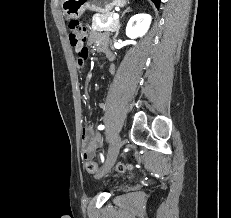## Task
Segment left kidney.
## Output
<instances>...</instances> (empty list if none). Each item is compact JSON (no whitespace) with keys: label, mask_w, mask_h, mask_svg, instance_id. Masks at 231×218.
Masks as SVG:
<instances>
[{"label":"left kidney","mask_w":231,"mask_h":218,"mask_svg":"<svg viewBox=\"0 0 231 218\" xmlns=\"http://www.w3.org/2000/svg\"><path fill=\"white\" fill-rule=\"evenodd\" d=\"M152 17L149 14H136L130 18L126 27V35L131 39L142 37L148 31Z\"/></svg>","instance_id":"1"}]
</instances>
